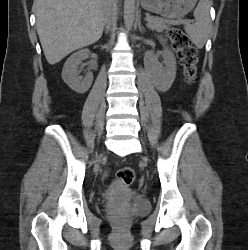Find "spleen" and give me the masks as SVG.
I'll list each match as a JSON object with an SVG mask.
<instances>
[{
	"label": "spleen",
	"instance_id": "spleen-1",
	"mask_svg": "<svg viewBox=\"0 0 248 250\" xmlns=\"http://www.w3.org/2000/svg\"><path fill=\"white\" fill-rule=\"evenodd\" d=\"M209 10V0H200L194 11L196 22L194 24H186L184 27L190 40L199 49L204 46L211 29Z\"/></svg>",
	"mask_w": 248,
	"mask_h": 250
}]
</instances>
